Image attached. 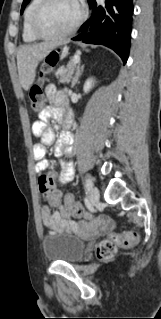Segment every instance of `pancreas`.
Listing matches in <instances>:
<instances>
[{
    "label": "pancreas",
    "instance_id": "cf45deb5",
    "mask_svg": "<svg viewBox=\"0 0 161 319\" xmlns=\"http://www.w3.org/2000/svg\"><path fill=\"white\" fill-rule=\"evenodd\" d=\"M75 67L76 65L74 64L73 60H71L66 65V67H61L55 74L58 79V82L62 84L69 83L72 78V74L75 70Z\"/></svg>",
    "mask_w": 161,
    "mask_h": 319
}]
</instances>
